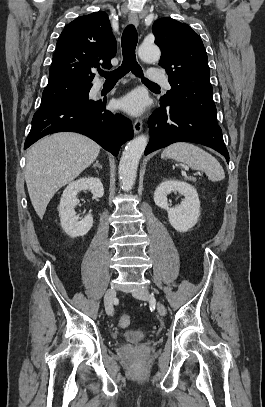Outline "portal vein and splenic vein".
I'll list each match as a JSON object with an SVG mask.
<instances>
[{
    "label": "portal vein and splenic vein",
    "mask_w": 265,
    "mask_h": 407,
    "mask_svg": "<svg viewBox=\"0 0 265 407\" xmlns=\"http://www.w3.org/2000/svg\"><path fill=\"white\" fill-rule=\"evenodd\" d=\"M185 170H188V167H185Z\"/></svg>",
    "instance_id": "portal-vein-and-splenic-vein-1"
}]
</instances>
